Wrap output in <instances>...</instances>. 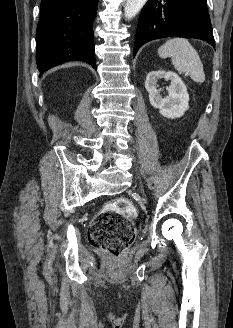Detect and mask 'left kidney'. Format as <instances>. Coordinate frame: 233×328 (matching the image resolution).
<instances>
[{"label":"left kidney","mask_w":233,"mask_h":328,"mask_svg":"<svg viewBox=\"0 0 233 328\" xmlns=\"http://www.w3.org/2000/svg\"><path fill=\"white\" fill-rule=\"evenodd\" d=\"M171 80L167 88L168 96L163 98L157 89L159 79ZM145 88L149 93V100L154 108L159 109L162 116L166 118H179L189 109V95L186 85L174 72L164 70L149 72L146 76Z\"/></svg>","instance_id":"obj_1"}]
</instances>
